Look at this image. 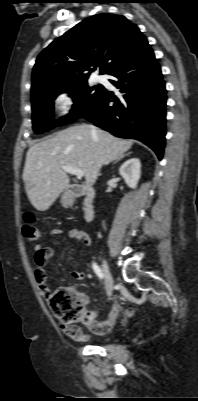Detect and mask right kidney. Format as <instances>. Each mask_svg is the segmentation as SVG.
I'll return each instance as SVG.
<instances>
[{
  "mask_svg": "<svg viewBox=\"0 0 198 401\" xmlns=\"http://www.w3.org/2000/svg\"><path fill=\"white\" fill-rule=\"evenodd\" d=\"M120 175L130 188H136L141 174V163L138 158L125 161L119 168Z\"/></svg>",
  "mask_w": 198,
  "mask_h": 401,
  "instance_id": "obj_1",
  "label": "right kidney"
}]
</instances>
